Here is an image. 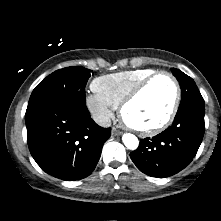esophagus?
I'll use <instances>...</instances> for the list:
<instances>
[{"mask_svg":"<svg viewBox=\"0 0 221 221\" xmlns=\"http://www.w3.org/2000/svg\"><path fill=\"white\" fill-rule=\"evenodd\" d=\"M112 134H113L114 136H119V135L122 134V132H121L120 130L116 129L115 127H113V128H112Z\"/></svg>","mask_w":221,"mask_h":221,"instance_id":"obj_1","label":"esophagus"}]
</instances>
